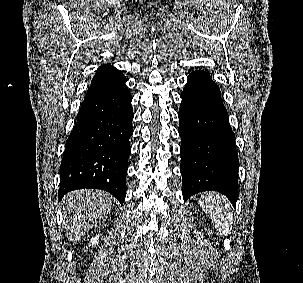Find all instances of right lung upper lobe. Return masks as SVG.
Instances as JSON below:
<instances>
[{
	"label": "right lung upper lobe",
	"mask_w": 303,
	"mask_h": 283,
	"mask_svg": "<svg viewBox=\"0 0 303 283\" xmlns=\"http://www.w3.org/2000/svg\"><path fill=\"white\" fill-rule=\"evenodd\" d=\"M119 73H121V71H118L115 67H113L111 65H102L101 67L98 68L97 72L95 73V75L91 81V84L108 79Z\"/></svg>",
	"instance_id": "obj_1"
}]
</instances>
